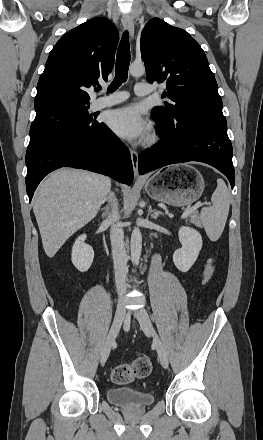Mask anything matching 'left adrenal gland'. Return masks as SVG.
I'll use <instances>...</instances> for the list:
<instances>
[{
	"mask_svg": "<svg viewBox=\"0 0 263 440\" xmlns=\"http://www.w3.org/2000/svg\"><path fill=\"white\" fill-rule=\"evenodd\" d=\"M150 215H151V218L156 220L160 215L163 216L164 214L161 211H158L156 209H154V210L150 209Z\"/></svg>",
	"mask_w": 263,
	"mask_h": 440,
	"instance_id": "obj_1",
	"label": "left adrenal gland"
}]
</instances>
